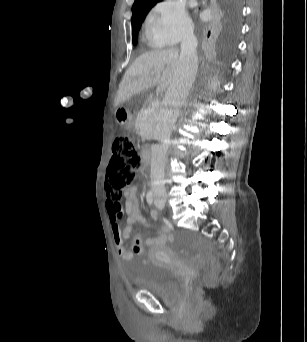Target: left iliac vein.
Instances as JSON below:
<instances>
[{
  "mask_svg": "<svg viewBox=\"0 0 307 342\" xmlns=\"http://www.w3.org/2000/svg\"><path fill=\"white\" fill-rule=\"evenodd\" d=\"M155 205L159 209H162L164 207V203H160L158 199L155 200Z\"/></svg>",
  "mask_w": 307,
  "mask_h": 342,
  "instance_id": "obj_1",
  "label": "left iliac vein"
}]
</instances>
